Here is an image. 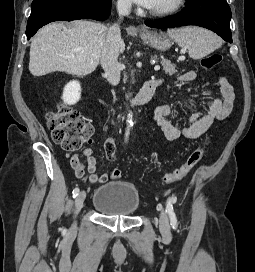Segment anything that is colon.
Segmentation results:
<instances>
[{
	"mask_svg": "<svg viewBox=\"0 0 255 272\" xmlns=\"http://www.w3.org/2000/svg\"><path fill=\"white\" fill-rule=\"evenodd\" d=\"M222 60L220 53H212L201 60V65L205 70H211ZM47 125L51 131L52 139L66 151L79 150L83 145L91 143L93 129L90 124L81 119L79 113L74 108L67 105H60L55 110L47 113ZM211 144L209 138L205 139L201 145L195 148L186 161L174 171L166 174L162 178L164 184H170L186 177L202 160L207 148ZM121 171L113 169L111 176L119 178Z\"/></svg>",
	"mask_w": 255,
	"mask_h": 272,
	"instance_id": "obj_1",
	"label": "colon"
}]
</instances>
